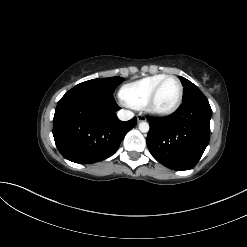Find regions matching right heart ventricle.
Returning a JSON list of instances; mask_svg holds the SVG:
<instances>
[{
	"instance_id": "right-heart-ventricle-1",
	"label": "right heart ventricle",
	"mask_w": 247,
	"mask_h": 247,
	"mask_svg": "<svg viewBox=\"0 0 247 247\" xmlns=\"http://www.w3.org/2000/svg\"><path fill=\"white\" fill-rule=\"evenodd\" d=\"M165 76L160 73L128 83L122 87L121 96L129 106L142 108L156 84Z\"/></svg>"
}]
</instances>
